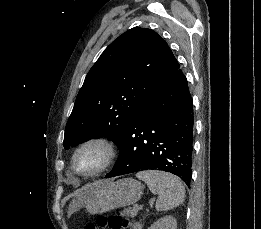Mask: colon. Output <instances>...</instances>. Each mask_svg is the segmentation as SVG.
<instances>
[{
  "instance_id": "5ec220e1",
  "label": "colon",
  "mask_w": 261,
  "mask_h": 229,
  "mask_svg": "<svg viewBox=\"0 0 261 229\" xmlns=\"http://www.w3.org/2000/svg\"><path fill=\"white\" fill-rule=\"evenodd\" d=\"M85 229H138L136 223L122 217L119 214H110L108 216L99 215L95 222H90Z\"/></svg>"
}]
</instances>
